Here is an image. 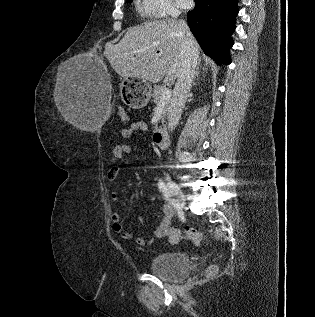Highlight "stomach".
Wrapping results in <instances>:
<instances>
[{
  "instance_id": "0dacf381",
  "label": "stomach",
  "mask_w": 315,
  "mask_h": 317,
  "mask_svg": "<svg viewBox=\"0 0 315 317\" xmlns=\"http://www.w3.org/2000/svg\"><path fill=\"white\" fill-rule=\"evenodd\" d=\"M152 92L151 85L144 80L129 77L120 82L122 101L133 109H141L147 105Z\"/></svg>"
}]
</instances>
